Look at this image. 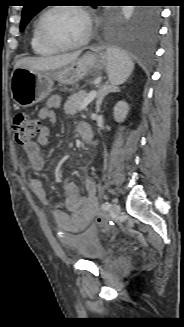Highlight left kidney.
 <instances>
[{
  "label": "left kidney",
  "instance_id": "left-kidney-1",
  "mask_svg": "<svg viewBox=\"0 0 184 327\" xmlns=\"http://www.w3.org/2000/svg\"><path fill=\"white\" fill-rule=\"evenodd\" d=\"M129 112V106L125 101H119L114 107V119L123 122Z\"/></svg>",
  "mask_w": 184,
  "mask_h": 327
}]
</instances>
